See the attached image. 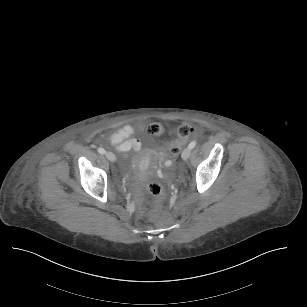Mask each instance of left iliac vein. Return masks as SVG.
Instances as JSON below:
<instances>
[{"label":"left iliac vein","instance_id":"left-iliac-vein-1","mask_svg":"<svg viewBox=\"0 0 307 307\" xmlns=\"http://www.w3.org/2000/svg\"><path fill=\"white\" fill-rule=\"evenodd\" d=\"M191 154V149L190 148H185L182 152L181 158L183 160H187L190 157Z\"/></svg>","mask_w":307,"mask_h":307}]
</instances>
